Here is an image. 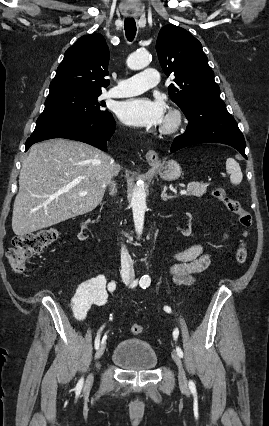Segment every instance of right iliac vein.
<instances>
[{
	"instance_id": "obj_1",
	"label": "right iliac vein",
	"mask_w": 269,
	"mask_h": 426,
	"mask_svg": "<svg viewBox=\"0 0 269 426\" xmlns=\"http://www.w3.org/2000/svg\"><path fill=\"white\" fill-rule=\"evenodd\" d=\"M123 282L125 284H129L130 278L124 277ZM105 347H106L105 341H102V343L100 344L99 348L96 351L95 359H99L103 355L105 351ZM92 384H93V375L89 374L84 384V390L85 391L89 390L92 387Z\"/></svg>"
}]
</instances>
